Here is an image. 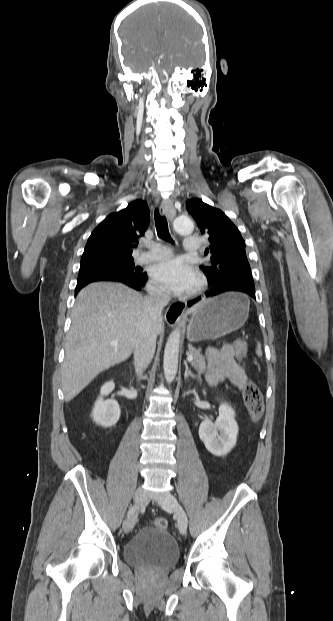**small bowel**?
<instances>
[{
    "label": "small bowel",
    "mask_w": 333,
    "mask_h": 621,
    "mask_svg": "<svg viewBox=\"0 0 333 621\" xmlns=\"http://www.w3.org/2000/svg\"><path fill=\"white\" fill-rule=\"evenodd\" d=\"M207 359L206 381L210 386H216L224 380H229L238 389H244L246 375L235 361L231 347L226 346L220 350L210 349L207 353Z\"/></svg>",
    "instance_id": "obj_1"
}]
</instances>
